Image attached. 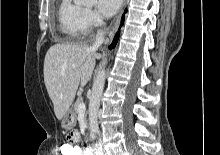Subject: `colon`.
<instances>
[{"instance_id":"obj_1","label":"colon","mask_w":220,"mask_h":155,"mask_svg":"<svg viewBox=\"0 0 220 155\" xmlns=\"http://www.w3.org/2000/svg\"><path fill=\"white\" fill-rule=\"evenodd\" d=\"M68 137V135H67ZM74 145V144H71ZM81 147L78 146H61V155H80Z\"/></svg>"}]
</instances>
